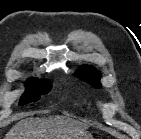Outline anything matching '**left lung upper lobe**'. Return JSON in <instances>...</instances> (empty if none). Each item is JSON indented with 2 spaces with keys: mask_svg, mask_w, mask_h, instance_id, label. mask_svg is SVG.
I'll return each mask as SVG.
<instances>
[{
  "mask_svg": "<svg viewBox=\"0 0 141 139\" xmlns=\"http://www.w3.org/2000/svg\"><path fill=\"white\" fill-rule=\"evenodd\" d=\"M75 75L82 80L88 82L89 84L93 85L94 87H101L99 83V78L101 74L92 66L84 65L80 67Z\"/></svg>",
  "mask_w": 141,
  "mask_h": 139,
  "instance_id": "1",
  "label": "left lung upper lobe"
}]
</instances>
